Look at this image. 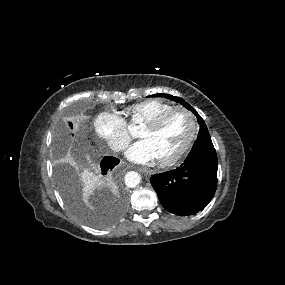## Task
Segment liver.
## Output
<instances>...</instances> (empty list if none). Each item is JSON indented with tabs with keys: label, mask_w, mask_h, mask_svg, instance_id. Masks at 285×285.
I'll return each mask as SVG.
<instances>
[{
	"label": "liver",
	"mask_w": 285,
	"mask_h": 285,
	"mask_svg": "<svg viewBox=\"0 0 285 285\" xmlns=\"http://www.w3.org/2000/svg\"><path fill=\"white\" fill-rule=\"evenodd\" d=\"M83 178H84V180H85V182H86L87 184H90V182H91V176H90V174L85 173V174L83 175Z\"/></svg>",
	"instance_id": "6515ba94"
}]
</instances>
